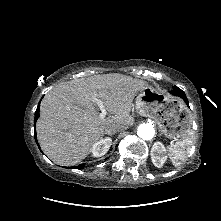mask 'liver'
Returning a JSON list of instances; mask_svg holds the SVG:
<instances>
[{
  "instance_id": "6515ba94",
  "label": "liver",
  "mask_w": 221,
  "mask_h": 221,
  "mask_svg": "<svg viewBox=\"0 0 221 221\" xmlns=\"http://www.w3.org/2000/svg\"><path fill=\"white\" fill-rule=\"evenodd\" d=\"M148 84L122 74L95 75L54 87L43 98L36 124L44 153L56 164L72 166L90 153L91 146L111 124L128 127L134 97ZM96 93L111 114L100 117L92 101Z\"/></svg>"
}]
</instances>
